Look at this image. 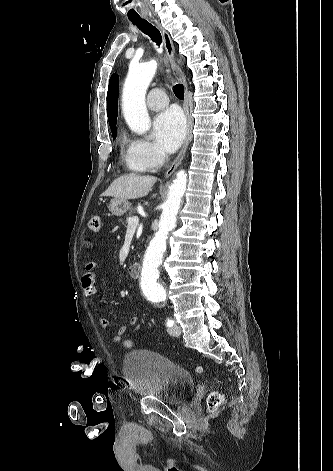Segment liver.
<instances>
[{
	"label": "liver",
	"instance_id": "obj_1",
	"mask_svg": "<svg viewBox=\"0 0 333 471\" xmlns=\"http://www.w3.org/2000/svg\"><path fill=\"white\" fill-rule=\"evenodd\" d=\"M157 181L154 176L124 175L115 179L103 196L118 199H137L148 195Z\"/></svg>",
	"mask_w": 333,
	"mask_h": 471
}]
</instances>
